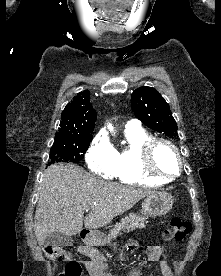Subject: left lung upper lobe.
Segmentation results:
<instances>
[{
	"label": "left lung upper lobe",
	"mask_w": 221,
	"mask_h": 276,
	"mask_svg": "<svg viewBox=\"0 0 221 276\" xmlns=\"http://www.w3.org/2000/svg\"><path fill=\"white\" fill-rule=\"evenodd\" d=\"M131 107L135 116L146 126L167 136H177V124L169 105L157 90L140 87L131 96Z\"/></svg>",
	"instance_id": "obj_1"
}]
</instances>
